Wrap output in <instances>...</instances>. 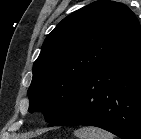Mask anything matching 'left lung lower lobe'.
I'll return each instance as SVG.
<instances>
[{"label":"left lung lower lobe","instance_id":"0a47b994","mask_svg":"<svg viewBox=\"0 0 141 139\" xmlns=\"http://www.w3.org/2000/svg\"><path fill=\"white\" fill-rule=\"evenodd\" d=\"M90 125L123 139H141V32L82 83L48 127Z\"/></svg>","mask_w":141,"mask_h":139}]
</instances>
